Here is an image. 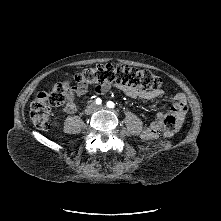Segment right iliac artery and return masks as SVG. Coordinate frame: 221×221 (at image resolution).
<instances>
[{
    "label": "right iliac artery",
    "mask_w": 221,
    "mask_h": 221,
    "mask_svg": "<svg viewBox=\"0 0 221 221\" xmlns=\"http://www.w3.org/2000/svg\"><path fill=\"white\" fill-rule=\"evenodd\" d=\"M95 102H96V104H98V105H99V104H101V102H102V101H101V99H100V98H97Z\"/></svg>",
    "instance_id": "right-iliac-artery-1"
}]
</instances>
